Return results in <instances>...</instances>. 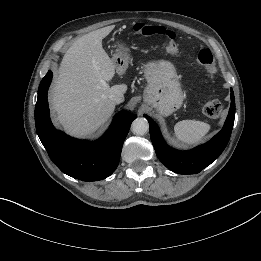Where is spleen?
Returning a JSON list of instances; mask_svg holds the SVG:
<instances>
[{"label": "spleen", "mask_w": 261, "mask_h": 261, "mask_svg": "<svg viewBox=\"0 0 261 261\" xmlns=\"http://www.w3.org/2000/svg\"><path fill=\"white\" fill-rule=\"evenodd\" d=\"M211 126L197 120H182L175 124L174 132L179 141L187 145L199 143Z\"/></svg>", "instance_id": "3e777b00"}]
</instances>
